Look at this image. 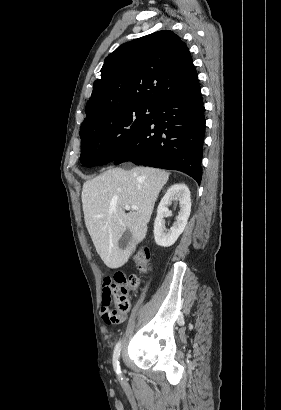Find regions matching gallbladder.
<instances>
[{"label":"gallbladder","mask_w":281,"mask_h":410,"mask_svg":"<svg viewBox=\"0 0 281 410\" xmlns=\"http://www.w3.org/2000/svg\"><path fill=\"white\" fill-rule=\"evenodd\" d=\"M132 239V234L129 230H126L123 234V236L121 237V239L119 240V247L121 249H125L128 245L129 242Z\"/></svg>","instance_id":"obj_1"}]
</instances>
